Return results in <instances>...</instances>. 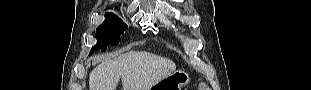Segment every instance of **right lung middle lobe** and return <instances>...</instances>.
I'll list each match as a JSON object with an SVG mask.
<instances>
[{"instance_id": "right-lung-middle-lobe-1", "label": "right lung middle lobe", "mask_w": 311, "mask_h": 90, "mask_svg": "<svg viewBox=\"0 0 311 90\" xmlns=\"http://www.w3.org/2000/svg\"><path fill=\"white\" fill-rule=\"evenodd\" d=\"M105 21L96 29V39L98 43L92 47L90 54L97 49L106 50L108 44L117 45L120 35L128 28L123 21L113 13H106Z\"/></svg>"}]
</instances>
